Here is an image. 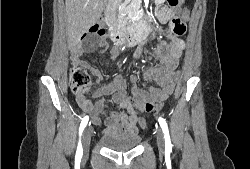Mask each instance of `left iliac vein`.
Here are the masks:
<instances>
[{"instance_id": "obj_1", "label": "left iliac vein", "mask_w": 250, "mask_h": 169, "mask_svg": "<svg viewBox=\"0 0 250 169\" xmlns=\"http://www.w3.org/2000/svg\"><path fill=\"white\" fill-rule=\"evenodd\" d=\"M157 139V146L160 151L164 150L165 141H164V134L161 130H158L156 133Z\"/></svg>"}]
</instances>
